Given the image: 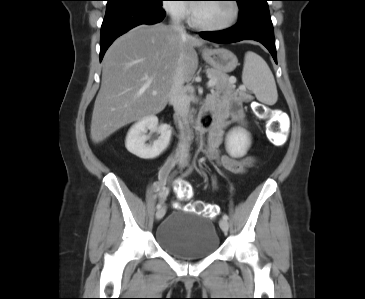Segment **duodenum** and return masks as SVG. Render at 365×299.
I'll use <instances>...</instances> for the list:
<instances>
[{
	"label": "duodenum",
	"mask_w": 365,
	"mask_h": 299,
	"mask_svg": "<svg viewBox=\"0 0 365 299\" xmlns=\"http://www.w3.org/2000/svg\"><path fill=\"white\" fill-rule=\"evenodd\" d=\"M213 114L211 111H203L197 121V128L201 132H207L213 127Z\"/></svg>",
	"instance_id": "1"
}]
</instances>
